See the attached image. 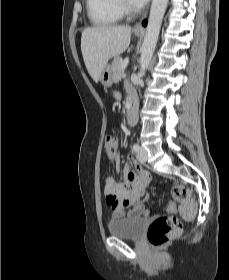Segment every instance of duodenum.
<instances>
[{
    "mask_svg": "<svg viewBox=\"0 0 229 280\" xmlns=\"http://www.w3.org/2000/svg\"><path fill=\"white\" fill-rule=\"evenodd\" d=\"M138 98L134 92H130L127 100L126 122L133 126L137 122Z\"/></svg>",
    "mask_w": 229,
    "mask_h": 280,
    "instance_id": "obj_1",
    "label": "duodenum"
}]
</instances>
